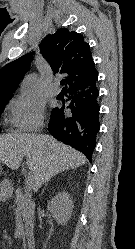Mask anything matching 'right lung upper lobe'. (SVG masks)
I'll return each instance as SVG.
<instances>
[{
    "label": "right lung upper lobe",
    "instance_id": "cb5924a9",
    "mask_svg": "<svg viewBox=\"0 0 135 249\" xmlns=\"http://www.w3.org/2000/svg\"><path fill=\"white\" fill-rule=\"evenodd\" d=\"M43 57L54 72L65 74L68 86L94 76L97 71L90 46L84 36L60 28L53 35H47L39 45ZM33 53L6 64L0 70V101L8 99L16 89L24 74L29 70Z\"/></svg>",
    "mask_w": 135,
    "mask_h": 249
}]
</instances>
